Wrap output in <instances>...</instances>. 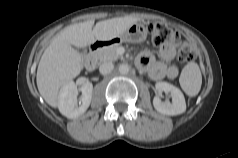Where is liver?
I'll use <instances>...</instances> for the list:
<instances>
[{
    "label": "liver",
    "mask_w": 238,
    "mask_h": 158,
    "mask_svg": "<svg viewBox=\"0 0 238 158\" xmlns=\"http://www.w3.org/2000/svg\"><path fill=\"white\" fill-rule=\"evenodd\" d=\"M137 21L136 17H119L97 22L93 27L94 21L90 20L59 32L45 49L37 69V87L46 103L58 107L59 90L82 71L84 56L74 47L109 41Z\"/></svg>",
    "instance_id": "1"
}]
</instances>
